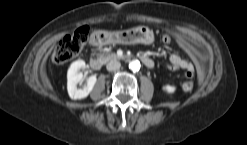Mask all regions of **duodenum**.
<instances>
[{
    "label": "duodenum",
    "mask_w": 247,
    "mask_h": 145,
    "mask_svg": "<svg viewBox=\"0 0 247 145\" xmlns=\"http://www.w3.org/2000/svg\"><path fill=\"white\" fill-rule=\"evenodd\" d=\"M104 38H105V35L94 34L92 36L91 44L94 46H99L102 43V41L104 40ZM140 59L147 68L151 69L154 67V62L151 58L143 56ZM89 65L92 69L98 70L101 68L102 63L97 58H91L89 60Z\"/></svg>",
    "instance_id": "duodenum-1"
}]
</instances>
